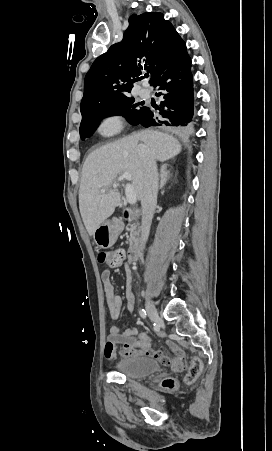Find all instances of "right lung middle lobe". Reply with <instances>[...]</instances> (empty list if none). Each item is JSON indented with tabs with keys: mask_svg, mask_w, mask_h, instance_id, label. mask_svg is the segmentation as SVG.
<instances>
[{
	"mask_svg": "<svg viewBox=\"0 0 272 451\" xmlns=\"http://www.w3.org/2000/svg\"><path fill=\"white\" fill-rule=\"evenodd\" d=\"M147 110V107H140L132 97L110 101L86 110L82 114L80 125V137L84 140L90 137L98 127L99 122L108 116H124L129 123L136 125Z\"/></svg>",
	"mask_w": 272,
	"mask_h": 451,
	"instance_id": "obj_1",
	"label": "right lung middle lobe"
}]
</instances>
